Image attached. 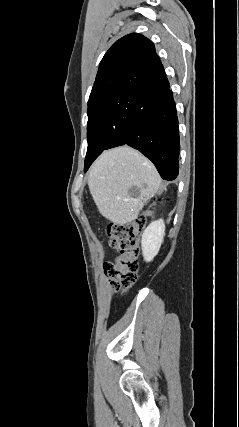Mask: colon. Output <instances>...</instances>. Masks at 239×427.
<instances>
[{
    "label": "colon",
    "mask_w": 239,
    "mask_h": 427,
    "mask_svg": "<svg viewBox=\"0 0 239 427\" xmlns=\"http://www.w3.org/2000/svg\"><path fill=\"white\" fill-rule=\"evenodd\" d=\"M146 224L144 215L128 223H110L105 228L111 246L118 251L113 261L103 265L104 273L117 292L127 291L136 281L138 272L139 236Z\"/></svg>",
    "instance_id": "1"
}]
</instances>
